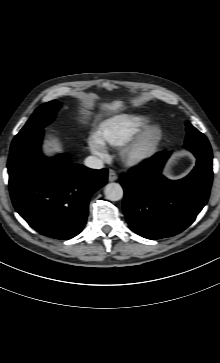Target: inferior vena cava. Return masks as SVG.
<instances>
[{"label": "inferior vena cava", "instance_id": "602c4592", "mask_svg": "<svg viewBox=\"0 0 220 363\" xmlns=\"http://www.w3.org/2000/svg\"><path fill=\"white\" fill-rule=\"evenodd\" d=\"M85 166L92 169H102L104 167L103 161L95 156H89L84 161Z\"/></svg>", "mask_w": 220, "mask_h": 363}]
</instances>
